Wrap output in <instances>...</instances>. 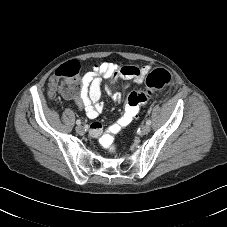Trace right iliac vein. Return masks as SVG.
<instances>
[{
  "label": "right iliac vein",
  "instance_id": "obj_1",
  "mask_svg": "<svg viewBox=\"0 0 227 227\" xmlns=\"http://www.w3.org/2000/svg\"><path fill=\"white\" fill-rule=\"evenodd\" d=\"M76 132L80 135H82L84 133V127L79 125L76 127Z\"/></svg>",
  "mask_w": 227,
  "mask_h": 227
}]
</instances>
